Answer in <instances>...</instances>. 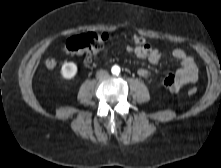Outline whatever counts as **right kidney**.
Instances as JSON below:
<instances>
[{"label": "right kidney", "mask_w": 221, "mask_h": 168, "mask_svg": "<svg viewBox=\"0 0 221 168\" xmlns=\"http://www.w3.org/2000/svg\"><path fill=\"white\" fill-rule=\"evenodd\" d=\"M77 65L73 62L64 63L61 67V75L64 79H72L77 73Z\"/></svg>", "instance_id": "1"}]
</instances>
